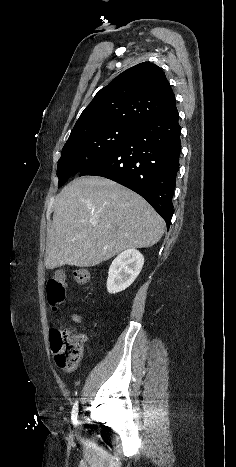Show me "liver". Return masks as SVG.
Returning <instances> with one entry per match:
<instances>
[{
  "mask_svg": "<svg viewBox=\"0 0 236 467\" xmlns=\"http://www.w3.org/2000/svg\"><path fill=\"white\" fill-rule=\"evenodd\" d=\"M163 234V219L137 193L103 177L76 178L56 197L45 266L92 267Z\"/></svg>",
  "mask_w": 236,
  "mask_h": 467,
  "instance_id": "obj_1",
  "label": "liver"
}]
</instances>
